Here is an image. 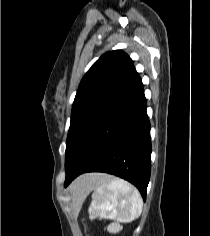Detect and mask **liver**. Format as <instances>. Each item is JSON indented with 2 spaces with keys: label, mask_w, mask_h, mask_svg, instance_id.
Returning a JSON list of instances; mask_svg holds the SVG:
<instances>
[{
  "label": "liver",
  "mask_w": 210,
  "mask_h": 236,
  "mask_svg": "<svg viewBox=\"0 0 210 236\" xmlns=\"http://www.w3.org/2000/svg\"><path fill=\"white\" fill-rule=\"evenodd\" d=\"M103 175L102 174H86V175H82L81 177H79L73 184V187L75 189V191L81 195L82 192V188L85 184L94 182L98 179H100Z\"/></svg>",
  "instance_id": "6515ba94"
}]
</instances>
